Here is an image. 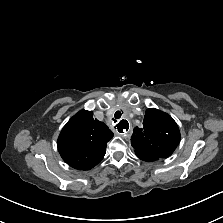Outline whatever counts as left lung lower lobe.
<instances>
[{"label":"left lung lower lobe","mask_w":223,"mask_h":223,"mask_svg":"<svg viewBox=\"0 0 223 223\" xmlns=\"http://www.w3.org/2000/svg\"><path fill=\"white\" fill-rule=\"evenodd\" d=\"M136 156H137L139 159L144 160V161H148V162H152V161L157 160V159H155V158H152V157H146V156H141V155H139V154H136Z\"/></svg>","instance_id":"left-lung-lower-lobe-1"}]
</instances>
